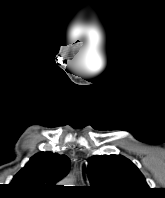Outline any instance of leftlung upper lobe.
Masks as SVG:
<instances>
[{"instance_id": "left-lung-upper-lobe-1", "label": "left lung upper lobe", "mask_w": 165, "mask_h": 198, "mask_svg": "<svg viewBox=\"0 0 165 198\" xmlns=\"http://www.w3.org/2000/svg\"><path fill=\"white\" fill-rule=\"evenodd\" d=\"M90 190L101 198H141L150 187L129 159L122 155H95L85 164Z\"/></svg>"}]
</instances>
